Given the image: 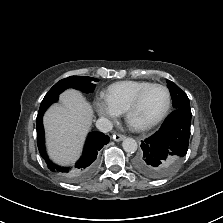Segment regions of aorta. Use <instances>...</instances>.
<instances>
[{
  "instance_id": "1",
  "label": "aorta",
  "mask_w": 223,
  "mask_h": 223,
  "mask_svg": "<svg viewBox=\"0 0 223 223\" xmlns=\"http://www.w3.org/2000/svg\"><path fill=\"white\" fill-rule=\"evenodd\" d=\"M122 147H123L125 152L134 153L137 150L138 145H137V142H136L135 139L125 138L122 142Z\"/></svg>"
}]
</instances>
